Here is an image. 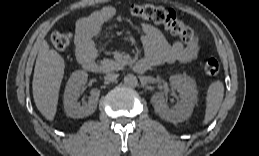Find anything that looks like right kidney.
<instances>
[{"instance_id":"right-kidney-1","label":"right kidney","mask_w":259,"mask_h":156,"mask_svg":"<svg viewBox=\"0 0 259 156\" xmlns=\"http://www.w3.org/2000/svg\"><path fill=\"white\" fill-rule=\"evenodd\" d=\"M88 74L85 71L77 70L70 76L65 93H64V108L68 116L72 118H83L91 115L97 108V103L100 96L98 89H93L90 93L88 102L80 105L78 98L82 86L87 82Z\"/></svg>"}]
</instances>
